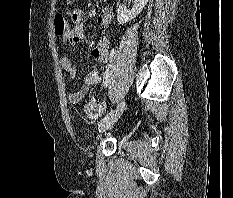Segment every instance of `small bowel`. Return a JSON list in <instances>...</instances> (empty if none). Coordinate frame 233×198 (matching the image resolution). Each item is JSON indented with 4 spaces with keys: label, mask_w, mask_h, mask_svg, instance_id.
Instances as JSON below:
<instances>
[{
    "label": "small bowel",
    "mask_w": 233,
    "mask_h": 198,
    "mask_svg": "<svg viewBox=\"0 0 233 198\" xmlns=\"http://www.w3.org/2000/svg\"><path fill=\"white\" fill-rule=\"evenodd\" d=\"M85 13L83 10H76L72 14L73 25L68 28L64 34H62V43L64 46L75 45L85 40ZM113 20V11L111 8H104L97 16V24L100 27L108 26ZM92 57L104 64H108L111 61V49L110 42L107 37H102L98 44L93 48ZM61 66L67 72V74L74 78L77 75V68L73 64L72 60L64 55L61 58ZM101 80L100 73L97 70L88 72L81 86L78 90L71 92L68 95L69 101L73 104L80 102L88 92L89 88L98 84Z\"/></svg>",
    "instance_id": "obj_1"
}]
</instances>
